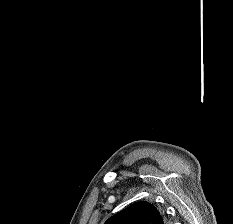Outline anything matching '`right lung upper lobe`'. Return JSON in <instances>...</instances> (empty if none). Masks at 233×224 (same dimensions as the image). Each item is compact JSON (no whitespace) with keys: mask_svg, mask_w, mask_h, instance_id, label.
Segmentation results:
<instances>
[{"mask_svg":"<svg viewBox=\"0 0 233 224\" xmlns=\"http://www.w3.org/2000/svg\"><path fill=\"white\" fill-rule=\"evenodd\" d=\"M105 224H165V220L153 204L140 201L110 217Z\"/></svg>","mask_w":233,"mask_h":224,"instance_id":"right-lung-upper-lobe-1","label":"right lung upper lobe"}]
</instances>
